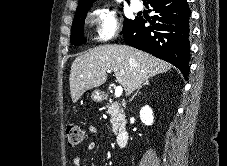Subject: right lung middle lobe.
<instances>
[{
	"mask_svg": "<svg viewBox=\"0 0 227 166\" xmlns=\"http://www.w3.org/2000/svg\"><path fill=\"white\" fill-rule=\"evenodd\" d=\"M88 10L89 9L77 10L75 13V17L71 28V44L75 46L82 45L86 42L85 38L83 37V27L86 13ZM136 19L135 20L125 19L124 29L122 33H124L129 27H131L135 23Z\"/></svg>",
	"mask_w": 227,
	"mask_h": 166,
	"instance_id": "dd1d6c3e",
	"label": "right lung middle lobe"
}]
</instances>
